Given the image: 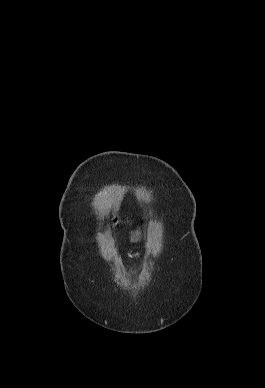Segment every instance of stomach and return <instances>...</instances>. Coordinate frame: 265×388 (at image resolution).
<instances>
[{
	"instance_id": "obj_1",
	"label": "stomach",
	"mask_w": 265,
	"mask_h": 388,
	"mask_svg": "<svg viewBox=\"0 0 265 388\" xmlns=\"http://www.w3.org/2000/svg\"><path fill=\"white\" fill-rule=\"evenodd\" d=\"M138 239H139V232L138 231L132 232L130 235V241L136 242L138 241Z\"/></svg>"
}]
</instances>
